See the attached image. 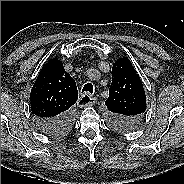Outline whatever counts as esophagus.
I'll return each instance as SVG.
<instances>
[{
	"instance_id": "esophagus-1",
	"label": "esophagus",
	"mask_w": 184,
	"mask_h": 184,
	"mask_svg": "<svg viewBox=\"0 0 184 184\" xmlns=\"http://www.w3.org/2000/svg\"><path fill=\"white\" fill-rule=\"evenodd\" d=\"M96 98L92 97L90 94L85 93L80 96L77 104L79 107H87V106H92L96 103Z\"/></svg>"
}]
</instances>
